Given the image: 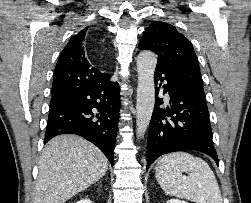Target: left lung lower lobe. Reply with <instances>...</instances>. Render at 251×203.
Returning <instances> with one entry per match:
<instances>
[{"label": "left lung lower lobe", "mask_w": 251, "mask_h": 203, "mask_svg": "<svg viewBox=\"0 0 251 203\" xmlns=\"http://www.w3.org/2000/svg\"><path fill=\"white\" fill-rule=\"evenodd\" d=\"M158 82H164L163 93L168 92L171 106L161 108L162 99L155 101L147 141V169L161 155L181 150L203 152L218 165L204 95L182 76L162 66L155 70V85L160 88L162 83Z\"/></svg>", "instance_id": "0a47b994"}]
</instances>
